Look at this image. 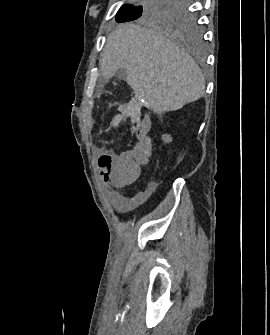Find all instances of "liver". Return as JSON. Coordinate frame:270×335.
<instances>
[{"instance_id":"obj_1","label":"liver","mask_w":270,"mask_h":335,"mask_svg":"<svg viewBox=\"0 0 270 335\" xmlns=\"http://www.w3.org/2000/svg\"><path fill=\"white\" fill-rule=\"evenodd\" d=\"M99 64L106 80L124 68L135 96L157 114L180 110L204 94V76L194 60L159 32L135 24L109 34Z\"/></svg>"}]
</instances>
